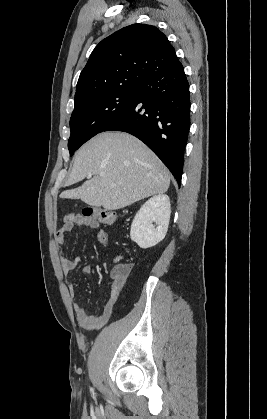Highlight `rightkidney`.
Wrapping results in <instances>:
<instances>
[{
	"label": "right kidney",
	"instance_id": "obj_1",
	"mask_svg": "<svg viewBox=\"0 0 267 419\" xmlns=\"http://www.w3.org/2000/svg\"><path fill=\"white\" fill-rule=\"evenodd\" d=\"M170 214L169 197L165 194L153 196L135 215L131 224V239L144 249L155 246L167 233Z\"/></svg>",
	"mask_w": 267,
	"mask_h": 419
}]
</instances>
